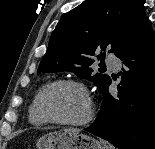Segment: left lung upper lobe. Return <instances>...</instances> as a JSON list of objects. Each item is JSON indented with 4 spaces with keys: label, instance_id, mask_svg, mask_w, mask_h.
I'll use <instances>...</instances> for the list:
<instances>
[{
    "label": "left lung upper lobe",
    "instance_id": "5c2ea615",
    "mask_svg": "<svg viewBox=\"0 0 155 149\" xmlns=\"http://www.w3.org/2000/svg\"><path fill=\"white\" fill-rule=\"evenodd\" d=\"M145 0H85L62 16L52 32L37 74L71 71L102 89L110 77L94 74V56L116 53L147 19Z\"/></svg>",
    "mask_w": 155,
    "mask_h": 149
}]
</instances>
